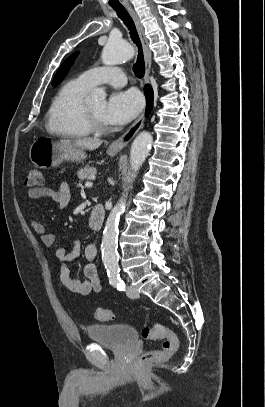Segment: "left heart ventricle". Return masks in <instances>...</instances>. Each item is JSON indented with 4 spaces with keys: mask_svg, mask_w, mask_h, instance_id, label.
I'll use <instances>...</instances> for the list:
<instances>
[{
    "mask_svg": "<svg viewBox=\"0 0 265 407\" xmlns=\"http://www.w3.org/2000/svg\"><path fill=\"white\" fill-rule=\"evenodd\" d=\"M88 107L104 126H108V123L104 119V109H105L104 102H96L88 105Z\"/></svg>",
    "mask_w": 265,
    "mask_h": 407,
    "instance_id": "obj_1",
    "label": "left heart ventricle"
}]
</instances>
